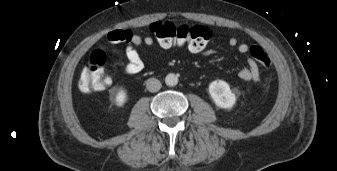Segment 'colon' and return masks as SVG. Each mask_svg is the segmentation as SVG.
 Instances as JSON below:
<instances>
[{
	"label": "colon",
	"mask_w": 337,
	"mask_h": 171,
	"mask_svg": "<svg viewBox=\"0 0 337 171\" xmlns=\"http://www.w3.org/2000/svg\"><path fill=\"white\" fill-rule=\"evenodd\" d=\"M150 31L157 38L159 48L164 53H171L180 46H187L193 52H200L211 38V30L205 25L176 24L171 21H157L150 25ZM251 57L263 68H269L271 61L259 45L249 48ZM107 56L103 50H94L83 67L79 88L84 93L103 90L111 82L106 70Z\"/></svg>",
	"instance_id": "5ec220e1"
}]
</instances>
